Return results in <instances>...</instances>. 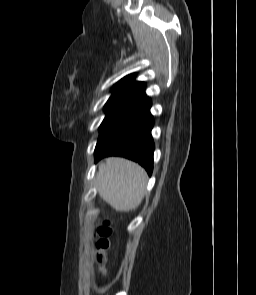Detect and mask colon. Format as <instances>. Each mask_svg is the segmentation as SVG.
Wrapping results in <instances>:
<instances>
[{
    "instance_id": "5ec220e1",
    "label": "colon",
    "mask_w": 256,
    "mask_h": 295,
    "mask_svg": "<svg viewBox=\"0 0 256 295\" xmlns=\"http://www.w3.org/2000/svg\"><path fill=\"white\" fill-rule=\"evenodd\" d=\"M111 233V222L108 220L98 223L94 229V260L98 266L97 273L101 278H104L107 274V249L110 245L109 236Z\"/></svg>"
}]
</instances>
